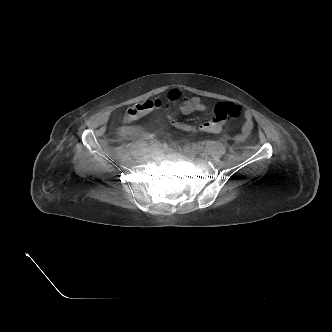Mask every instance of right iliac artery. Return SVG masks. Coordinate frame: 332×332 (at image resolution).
<instances>
[{
	"label": "right iliac artery",
	"mask_w": 332,
	"mask_h": 332,
	"mask_svg": "<svg viewBox=\"0 0 332 332\" xmlns=\"http://www.w3.org/2000/svg\"><path fill=\"white\" fill-rule=\"evenodd\" d=\"M160 147V143L158 141L152 142L149 146V152H153Z\"/></svg>",
	"instance_id": "1"
}]
</instances>
